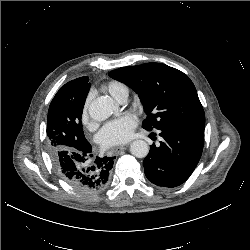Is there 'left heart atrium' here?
Instances as JSON below:
<instances>
[{
    "mask_svg": "<svg viewBox=\"0 0 250 250\" xmlns=\"http://www.w3.org/2000/svg\"><path fill=\"white\" fill-rule=\"evenodd\" d=\"M136 125V118L130 114L112 120L100 130L98 141L104 148L124 144L132 138Z\"/></svg>",
    "mask_w": 250,
    "mask_h": 250,
    "instance_id": "1",
    "label": "left heart atrium"
}]
</instances>
